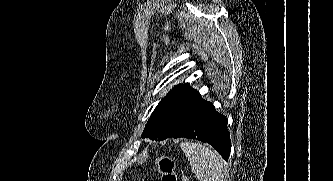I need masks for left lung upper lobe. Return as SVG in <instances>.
I'll return each instance as SVG.
<instances>
[{
    "instance_id": "left-lung-upper-lobe-1",
    "label": "left lung upper lobe",
    "mask_w": 333,
    "mask_h": 181,
    "mask_svg": "<svg viewBox=\"0 0 333 181\" xmlns=\"http://www.w3.org/2000/svg\"><path fill=\"white\" fill-rule=\"evenodd\" d=\"M209 102L188 84L175 86L157 105L142 138L159 135L164 140L178 134Z\"/></svg>"
}]
</instances>
